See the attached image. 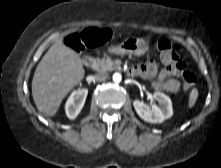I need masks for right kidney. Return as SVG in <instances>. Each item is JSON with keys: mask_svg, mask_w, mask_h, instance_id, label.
<instances>
[{"mask_svg": "<svg viewBox=\"0 0 221 168\" xmlns=\"http://www.w3.org/2000/svg\"><path fill=\"white\" fill-rule=\"evenodd\" d=\"M87 94V89H79L71 93L65 105L66 115L69 119H75L78 116L84 106Z\"/></svg>", "mask_w": 221, "mask_h": 168, "instance_id": "right-kidney-1", "label": "right kidney"}]
</instances>
